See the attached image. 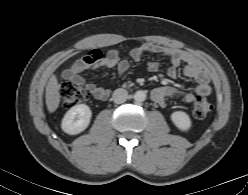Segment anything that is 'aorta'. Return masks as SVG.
Listing matches in <instances>:
<instances>
[{
	"label": "aorta",
	"mask_w": 248,
	"mask_h": 195,
	"mask_svg": "<svg viewBox=\"0 0 248 195\" xmlns=\"http://www.w3.org/2000/svg\"><path fill=\"white\" fill-rule=\"evenodd\" d=\"M146 99V92L139 90L134 94V100L137 102H143Z\"/></svg>",
	"instance_id": "obj_1"
}]
</instances>
